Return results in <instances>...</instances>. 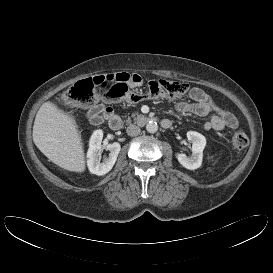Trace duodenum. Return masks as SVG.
Masks as SVG:
<instances>
[{
  "mask_svg": "<svg viewBox=\"0 0 273 273\" xmlns=\"http://www.w3.org/2000/svg\"><path fill=\"white\" fill-rule=\"evenodd\" d=\"M106 118H107L108 125L112 130H119L122 128L123 122H122V119L118 115L109 114V115H106ZM151 121H152V119L147 115L138 116L135 119V122L140 126H146V125L150 124ZM171 124H172L171 121L168 119H163L161 121V125L164 128H169L171 126Z\"/></svg>",
  "mask_w": 273,
  "mask_h": 273,
  "instance_id": "410a0bca",
  "label": "duodenum"
}]
</instances>
